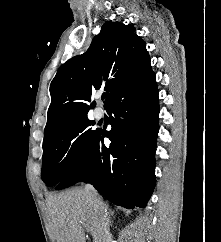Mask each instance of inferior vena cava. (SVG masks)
Returning a JSON list of instances; mask_svg holds the SVG:
<instances>
[{"mask_svg":"<svg viewBox=\"0 0 221 242\" xmlns=\"http://www.w3.org/2000/svg\"><path fill=\"white\" fill-rule=\"evenodd\" d=\"M85 191L97 217V237L95 242H111L106 204L100 199L98 193L91 184L85 186Z\"/></svg>","mask_w":221,"mask_h":242,"instance_id":"obj_1","label":"inferior vena cava"}]
</instances>
